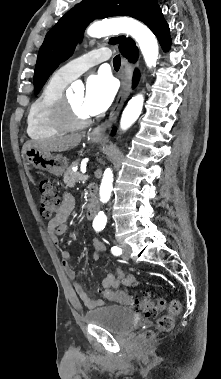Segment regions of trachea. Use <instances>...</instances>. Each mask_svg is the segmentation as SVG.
Here are the masks:
<instances>
[{"mask_svg": "<svg viewBox=\"0 0 221 379\" xmlns=\"http://www.w3.org/2000/svg\"><path fill=\"white\" fill-rule=\"evenodd\" d=\"M120 64H121V59H120V56L117 55V56H115V58L113 59V66H114L115 69H119Z\"/></svg>", "mask_w": 221, "mask_h": 379, "instance_id": "obj_1", "label": "trachea"}]
</instances>
